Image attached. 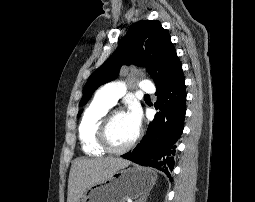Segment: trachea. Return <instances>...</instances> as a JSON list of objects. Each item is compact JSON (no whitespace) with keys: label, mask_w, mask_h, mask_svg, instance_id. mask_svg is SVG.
<instances>
[{"label":"trachea","mask_w":255,"mask_h":202,"mask_svg":"<svg viewBox=\"0 0 255 202\" xmlns=\"http://www.w3.org/2000/svg\"><path fill=\"white\" fill-rule=\"evenodd\" d=\"M145 97H149V95H148V94H145Z\"/></svg>","instance_id":"trachea-1"}]
</instances>
